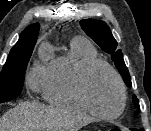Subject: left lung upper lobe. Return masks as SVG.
<instances>
[{
    "label": "left lung upper lobe",
    "instance_id": "left-lung-upper-lobe-1",
    "mask_svg": "<svg viewBox=\"0 0 151 131\" xmlns=\"http://www.w3.org/2000/svg\"><path fill=\"white\" fill-rule=\"evenodd\" d=\"M82 29L89 35L103 51L111 54V58L119 70L126 85L131 86V78L126 67L121 50H117V42L111 34V31L104 21L85 19L80 21ZM133 103L139 107V100L135 95L132 97ZM139 110L135 112L138 114Z\"/></svg>",
    "mask_w": 151,
    "mask_h": 131
}]
</instances>
